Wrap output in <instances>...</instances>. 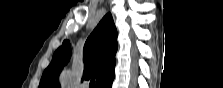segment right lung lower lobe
I'll return each instance as SVG.
<instances>
[{"instance_id": "1", "label": "right lung lower lobe", "mask_w": 223, "mask_h": 88, "mask_svg": "<svg viewBox=\"0 0 223 88\" xmlns=\"http://www.w3.org/2000/svg\"><path fill=\"white\" fill-rule=\"evenodd\" d=\"M112 82H113V79L104 83V84H102V85H100L99 88H111Z\"/></svg>"}]
</instances>
